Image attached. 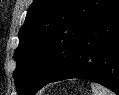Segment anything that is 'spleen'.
Returning <instances> with one entry per match:
<instances>
[{
	"label": "spleen",
	"mask_w": 119,
	"mask_h": 95,
	"mask_svg": "<svg viewBox=\"0 0 119 95\" xmlns=\"http://www.w3.org/2000/svg\"><path fill=\"white\" fill-rule=\"evenodd\" d=\"M93 95H115L112 91L98 83H91Z\"/></svg>",
	"instance_id": "1"
}]
</instances>
